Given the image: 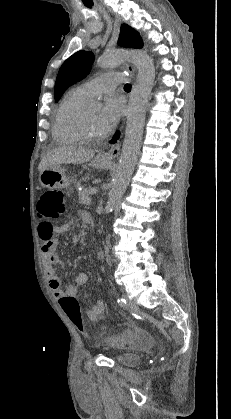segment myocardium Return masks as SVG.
Instances as JSON below:
<instances>
[{"instance_id": "f54148a6", "label": "myocardium", "mask_w": 231, "mask_h": 419, "mask_svg": "<svg viewBox=\"0 0 231 419\" xmlns=\"http://www.w3.org/2000/svg\"><path fill=\"white\" fill-rule=\"evenodd\" d=\"M87 117V108L82 109L79 114L77 115L74 126L78 133V135L82 138V140L87 142H98L101 141L104 136L103 135H93L89 132L86 123Z\"/></svg>"}]
</instances>
